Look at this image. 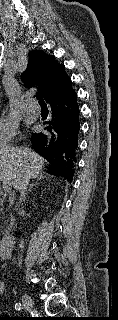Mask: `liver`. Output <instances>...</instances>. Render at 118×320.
Segmentation results:
<instances>
[{
	"label": "liver",
	"mask_w": 118,
	"mask_h": 320,
	"mask_svg": "<svg viewBox=\"0 0 118 320\" xmlns=\"http://www.w3.org/2000/svg\"><path fill=\"white\" fill-rule=\"evenodd\" d=\"M45 162L35 152L24 156L19 148L0 147V178L9 180L15 189H19L25 175L36 178L41 174Z\"/></svg>",
	"instance_id": "6515ba94"
}]
</instances>
